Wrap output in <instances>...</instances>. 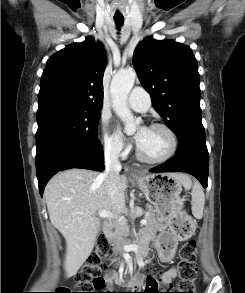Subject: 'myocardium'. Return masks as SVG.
I'll return each mask as SVG.
<instances>
[{
  "label": "myocardium",
  "mask_w": 245,
  "mask_h": 293,
  "mask_svg": "<svg viewBox=\"0 0 245 293\" xmlns=\"http://www.w3.org/2000/svg\"><path fill=\"white\" fill-rule=\"evenodd\" d=\"M151 129H161L164 130L170 137V149L169 151L160 158H149L146 157L140 150L139 146L136 149L137 158L148 164H160L170 160L177 152L178 149V138L174 130L168 125L162 123H154L150 126Z\"/></svg>",
  "instance_id": "obj_1"
}]
</instances>
